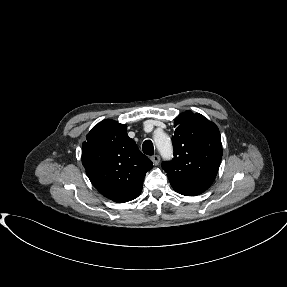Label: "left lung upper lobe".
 <instances>
[{
    "mask_svg": "<svg viewBox=\"0 0 287 287\" xmlns=\"http://www.w3.org/2000/svg\"><path fill=\"white\" fill-rule=\"evenodd\" d=\"M174 158L162 163L173 189L186 196L206 191L213 183L222 158L218 127L199 113L186 111L174 122Z\"/></svg>",
    "mask_w": 287,
    "mask_h": 287,
    "instance_id": "1",
    "label": "left lung upper lobe"
}]
</instances>
